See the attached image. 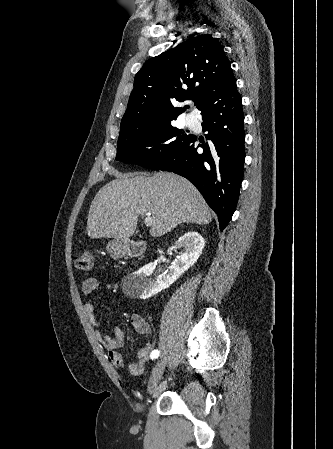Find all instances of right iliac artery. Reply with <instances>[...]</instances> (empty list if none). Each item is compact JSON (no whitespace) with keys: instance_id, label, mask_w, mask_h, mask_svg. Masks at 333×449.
<instances>
[{"instance_id":"right-iliac-artery-1","label":"right iliac artery","mask_w":333,"mask_h":449,"mask_svg":"<svg viewBox=\"0 0 333 449\" xmlns=\"http://www.w3.org/2000/svg\"><path fill=\"white\" fill-rule=\"evenodd\" d=\"M159 351L158 350H154L152 353H151V359H156L158 356H159Z\"/></svg>"}]
</instances>
